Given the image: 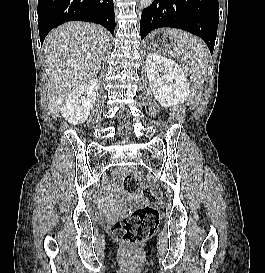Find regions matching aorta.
I'll return each instance as SVG.
<instances>
[{
	"label": "aorta",
	"mask_w": 265,
	"mask_h": 273,
	"mask_svg": "<svg viewBox=\"0 0 265 273\" xmlns=\"http://www.w3.org/2000/svg\"><path fill=\"white\" fill-rule=\"evenodd\" d=\"M139 2L141 8H148L152 4L153 0H139Z\"/></svg>",
	"instance_id": "762f6f07"
}]
</instances>
